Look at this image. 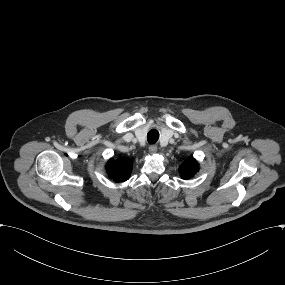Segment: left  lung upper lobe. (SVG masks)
Returning <instances> with one entry per match:
<instances>
[{
    "instance_id": "1",
    "label": "left lung upper lobe",
    "mask_w": 285,
    "mask_h": 285,
    "mask_svg": "<svg viewBox=\"0 0 285 285\" xmlns=\"http://www.w3.org/2000/svg\"><path fill=\"white\" fill-rule=\"evenodd\" d=\"M199 171V164L197 161L192 158L188 157L179 168L180 176L183 179H189L192 178L195 173Z\"/></svg>"
}]
</instances>
